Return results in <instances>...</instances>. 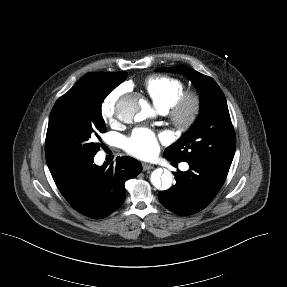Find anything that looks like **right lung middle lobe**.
Wrapping results in <instances>:
<instances>
[{
	"instance_id": "dd1d6c3e",
	"label": "right lung middle lobe",
	"mask_w": 287,
	"mask_h": 287,
	"mask_svg": "<svg viewBox=\"0 0 287 287\" xmlns=\"http://www.w3.org/2000/svg\"><path fill=\"white\" fill-rule=\"evenodd\" d=\"M114 88L93 75L78 80L56 101L45 141L48 167L69 169L95 156L100 148L96 140L107 130L101 105Z\"/></svg>"
}]
</instances>
